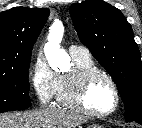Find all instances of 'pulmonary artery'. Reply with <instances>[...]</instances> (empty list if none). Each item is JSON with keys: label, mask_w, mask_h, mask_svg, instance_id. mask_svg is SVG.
I'll return each mask as SVG.
<instances>
[{"label": "pulmonary artery", "mask_w": 142, "mask_h": 128, "mask_svg": "<svg viewBox=\"0 0 142 128\" xmlns=\"http://www.w3.org/2000/svg\"><path fill=\"white\" fill-rule=\"evenodd\" d=\"M68 51L72 58H90L89 50L83 46L71 45L69 46Z\"/></svg>", "instance_id": "e3ab8cb5"}]
</instances>
